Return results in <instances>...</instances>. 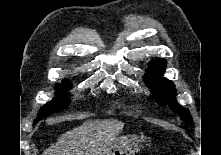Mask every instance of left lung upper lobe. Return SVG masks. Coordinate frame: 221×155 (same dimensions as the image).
Instances as JSON below:
<instances>
[{"label": "left lung upper lobe", "instance_id": "1", "mask_svg": "<svg viewBox=\"0 0 221 155\" xmlns=\"http://www.w3.org/2000/svg\"><path fill=\"white\" fill-rule=\"evenodd\" d=\"M165 61L158 59L153 61L149 68L144 81L151 88L155 99L160 105H169V107L181 116V120L185 123H191L192 118L189 110L179 105L175 99L176 90L173 82L163 77L165 71Z\"/></svg>", "mask_w": 221, "mask_h": 155}]
</instances>
